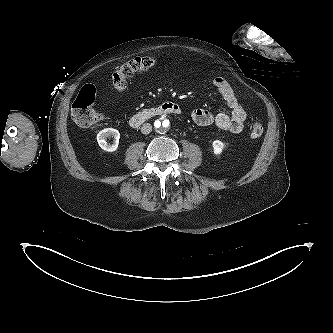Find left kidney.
Segmentation results:
<instances>
[{"instance_id":"obj_1","label":"left kidney","mask_w":333,"mask_h":333,"mask_svg":"<svg viewBox=\"0 0 333 333\" xmlns=\"http://www.w3.org/2000/svg\"><path fill=\"white\" fill-rule=\"evenodd\" d=\"M212 147H213L214 154L219 155L223 152L224 148L226 147V144L220 140H215L212 143Z\"/></svg>"}]
</instances>
